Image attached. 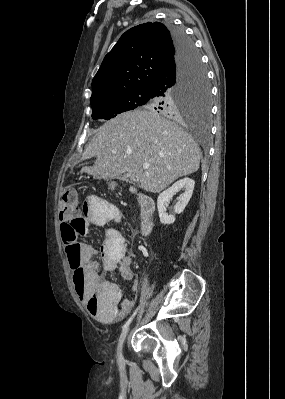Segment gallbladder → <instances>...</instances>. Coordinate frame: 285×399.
Here are the masks:
<instances>
[{"mask_svg": "<svg viewBox=\"0 0 285 399\" xmlns=\"http://www.w3.org/2000/svg\"><path fill=\"white\" fill-rule=\"evenodd\" d=\"M123 178L124 179H130L131 181H134V177L133 176L126 175Z\"/></svg>", "mask_w": 285, "mask_h": 399, "instance_id": "gallbladder-1", "label": "gallbladder"}]
</instances>
